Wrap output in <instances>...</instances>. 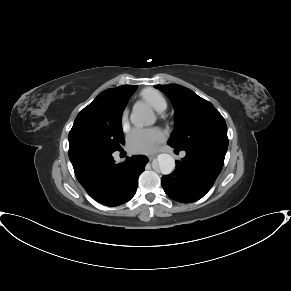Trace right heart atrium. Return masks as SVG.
Here are the masks:
<instances>
[{
  "label": "right heart atrium",
  "mask_w": 291,
  "mask_h": 291,
  "mask_svg": "<svg viewBox=\"0 0 291 291\" xmlns=\"http://www.w3.org/2000/svg\"><path fill=\"white\" fill-rule=\"evenodd\" d=\"M120 122L123 131H127L129 127V114L127 109L123 111Z\"/></svg>",
  "instance_id": "d8ad5b80"
}]
</instances>
